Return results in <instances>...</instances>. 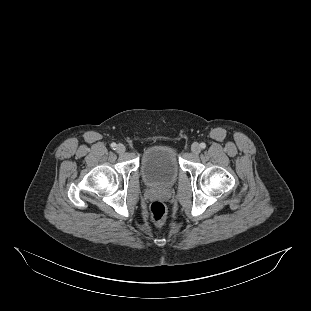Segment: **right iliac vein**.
<instances>
[{
  "label": "right iliac vein",
  "instance_id": "1",
  "mask_svg": "<svg viewBox=\"0 0 311 311\" xmlns=\"http://www.w3.org/2000/svg\"><path fill=\"white\" fill-rule=\"evenodd\" d=\"M125 146L123 145V144H118L117 146H116V151L118 152V153H124L125 152Z\"/></svg>",
  "mask_w": 311,
  "mask_h": 311
}]
</instances>
